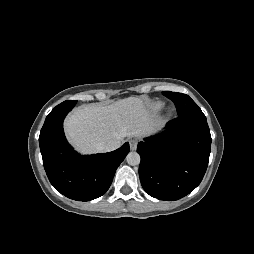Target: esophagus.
Masks as SVG:
<instances>
[{"label":"esophagus","instance_id":"esophagus-1","mask_svg":"<svg viewBox=\"0 0 254 254\" xmlns=\"http://www.w3.org/2000/svg\"><path fill=\"white\" fill-rule=\"evenodd\" d=\"M137 143H138V142H137V140H135V139H132V140L129 141L130 148H131L132 151L136 150V148H137Z\"/></svg>","mask_w":254,"mask_h":254}]
</instances>
